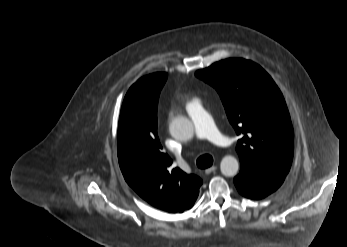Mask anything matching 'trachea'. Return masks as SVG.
<instances>
[{
  "label": "trachea",
  "mask_w": 347,
  "mask_h": 247,
  "mask_svg": "<svg viewBox=\"0 0 347 247\" xmlns=\"http://www.w3.org/2000/svg\"><path fill=\"white\" fill-rule=\"evenodd\" d=\"M196 164L201 169H206L213 164V158L211 155H202L196 160Z\"/></svg>",
  "instance_id": "1"
}]
</instances>
